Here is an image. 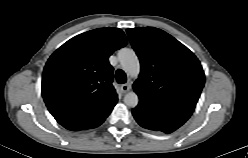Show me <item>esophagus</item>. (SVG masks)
<instances>
[{
  "label": "esophagus",
  "instance_id": "34e87169",
  "mask_svg": "<svg viewBox=\"0 0 248 158\" xmlns=\"http://www.w3.org/2000/svg\"><path fill=\"white\" fill-rule=\"evenodd\" d=\"M130 88H131L130 83H125V84L121 85V90L123 93L128 92L130 90Z\"/></svg>",
  "mask_w": 248,
  "mask_h": 158
}]
</instances>
